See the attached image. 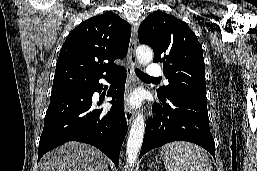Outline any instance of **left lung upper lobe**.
<instances>
[{
  "instance_id": "obj_1",
  "label": "left lung upper lobe",
  "mask_w": 257,
  "mask_h": 171,
  "mask_svg": "<svg viewBox=\"0 0 257 171\" xmlns=\"http://www.w3.org/2000/svg\"><path fill=\"white\" fill-rule=\"evenodd\" d=\"M138 37L153 49V61L163 62L169 84L157 89L160 98L180 95L207 101L202 46L184 22L155 11L141 23Z\"/></svg>"
}]
</instances>
